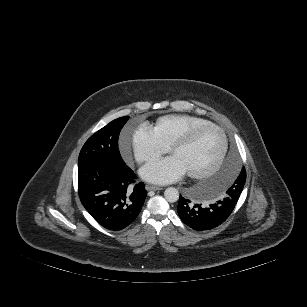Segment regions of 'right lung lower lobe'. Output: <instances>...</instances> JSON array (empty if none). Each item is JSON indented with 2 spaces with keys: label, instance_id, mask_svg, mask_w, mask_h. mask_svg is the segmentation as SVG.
<instances>
[{
  "label": "right lung lower lobe",
  "instance_id": "obj_1",
  "mask_svg": "<svg viewBox=\"0 0 307 307\" xmlns=\"http://www.w3.org/2000/svg\"><path fill=\"white\" fill-rule=\"evenodd\" d=\"M134 172L125 164L103 162L78 166V193L91 216L109 230H121L138 216L146 198L142 182L133 188Z\"/></svg>",
  "mask_w": 307,
  "mask_h": 307
}]
</instances>
